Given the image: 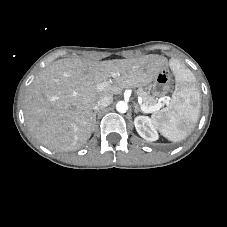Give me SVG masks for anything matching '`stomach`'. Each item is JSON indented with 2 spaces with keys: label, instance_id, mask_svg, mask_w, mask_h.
<instances>
[{
  "label": "stomach",
  "instance_id": "1",
  "mask_svg": "<svg viewBox=\"0 0 227 227\" xmlns=\"http://www.w3.org/2000/svg\"><path fill=\"white\" fill-rule=\"evenodd\" d=\"M158 75L154 78L152 83V92L154 96L161 97L168 94L172 87V75L167 69L166 65L162 66Z\"/></svg>",
  "mask_w": 227,
  "mask_h": 227
}]
</instances>
